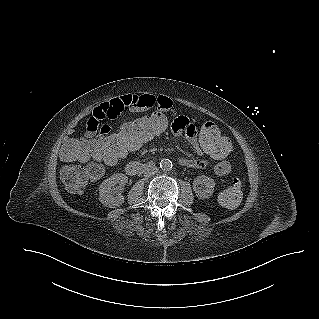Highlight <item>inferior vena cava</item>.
<instances>
[{
  "mask_svg": "<svg viewBox=\"0 0 319 319\" xmlns=\"http://www.w3.org/2000/svg\"><path fill=\"white\" fill-rule=\"evenodd\" d=\"M158 172V168L157 167H150L145 171V176L146 177H150L155 175Z\"/></svg>",
  "mask_w": 319,
  "mask_h": 319,
  "instance_id": "602c4592",
  "label": "inferior vena cava"
}]
</instances>
